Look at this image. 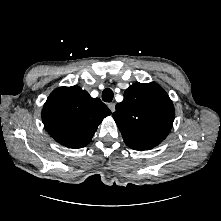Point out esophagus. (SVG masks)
<instances>
[{
  "label": "esophagus",
  "instance_id": "esophagus-1",
  "mask_svg": "<svg viewBox=\"0 0 221 221\" xmlns=\"http://www.w3.org/2000/svg\"><path fill=\"white\" fill-rule=\"evenodd\" d=\"M109 109L111 110V112L115 111V103H109L108 104Z\"/></svg>",
  "mask_w": 221,
  "mask_h": 221
}]
</instances>
